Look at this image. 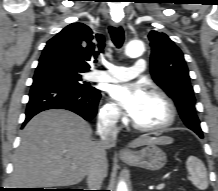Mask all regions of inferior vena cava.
I'll return each instance as SVG.
<instances>
[{"mask_svg":"<svg viewBox=\"0 0 218 191\" xmlns=\"http://www.w3.org/2000/svg\"><path fill=\"white\" fill-rule=\"evenodd\" d=\"M118 115L105 114L99 118L97 131L101 138V149L95 162L87 173V184L89 190H100L102 181L107 175V160L105 150L114 147L117 140Z\"/></svg>","mask_w":218,"mask_h":191,"instance_id":"1","label":"inferior vena cava"}]
</instances>
